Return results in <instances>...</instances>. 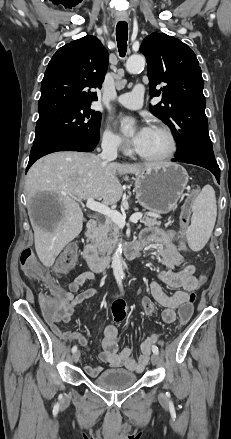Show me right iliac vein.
I'll use <instances>...</instances> for the list:
<instances>
[{
    "instance_id": "obj_1",
    "label": "right iliac vein",
    "mask_w": 231,
    "mask_h": 439,
    "mask_svg": "<svg viewBox=\"0 0 231 439\" xmlns=\"http://www.w3.org/2000/svg\"><path fill=\"white\" fill-rule=\"evenodd\" d=\"M79 358H80V351H76V352H74L73 355H72V360H73V362H74V363H77L78 360H79Z\"/></svg>"
}]
</instances>
